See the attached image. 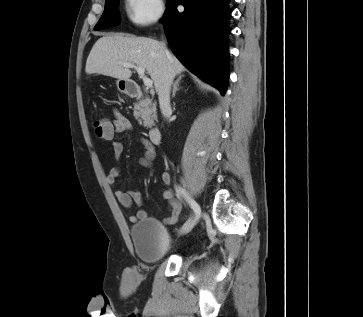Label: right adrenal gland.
Masks as SVG:
<instances>
[{"label": "right adrenal gland", "instance_id": "right-adrenal-gland-1", "mask_svg": "<svg viewBox=\"0 0 363 317\" xmlns=\"http://www.w3.org/2000/svg\"><path fill=\"white\" fill-rule=\"evenodd\" d=\"M182 77H184L183 75H180L178 77V79L175 81V83L173 84V90H172V97H175L176 92L179 90V83L182 79Z\"/></svg>", "mask_w": 363, "mask_h": 317}]
</instances>
